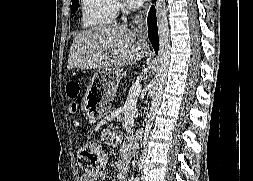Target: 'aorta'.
Wrapping results in <instances>:
<instances>
[{"label": "aorta", "instance_id": "aorta-1", "mask_svg": "<svg viewBox=\"0 0 253 181\" xmlns=\"http://www.w3.org/2000/svg\"><path fill=\"white\" fill-rule=\"evenodd\" d=\"M156 19L158 27L159 50L156 66L155 87L152 99V106L149 107L146 123L144 124V136L142 148H146L149 139L150 128H153L155 112L162 98L163 87L166 82L169 59H170V35L165 0H156ZM144 155L143 153L141 154Z\"/></svg>", "mask_w": 253, "mask_h": 181}]
</instances>
